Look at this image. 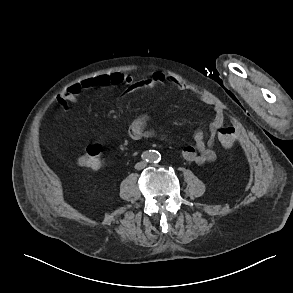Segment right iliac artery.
Here are the masks:
<instances>
[{"mask_svg": "<svg viewBox=\"0 0 293 293\" xmlns=\"http://www.w3.org/2000/svg\"><path fill=\"white\" fill-rule=\"evenodd\" d=\"M142 158H143L144 160L148 161V159H149V154H148V153H144V154L142 155Z\"/></svg>", "mask_w": 293, "mask_h": 293, "instance_id": "1", "label": "right iliac artery"}]
</instances>
